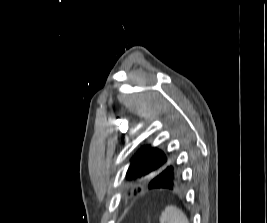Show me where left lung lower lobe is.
I'll return each mask as SVG.
<instances>
[{"label":"left lung lower lobe","mask_w":267,"mask_h":223,"mask_svg":"<svg viewBox=\"0 0 267 223\" xmlns=\"http://www.w3.org/2000/svg\"><path fill=\"white\" fill-rule=\"evenodd\" d=\"M183 175V171L154 173V179L151 182H141L139 190H145V195H174V190L178 187H185V182H181Z\"/></svg>","instance_id":"0a47b994"}]
</instances>
